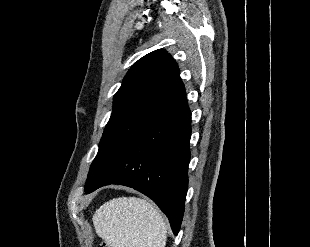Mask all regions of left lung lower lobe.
Returning a JSON list of instances; mask_svg holds the SVG:
<instances>
[{"label": "left lung lower lobe", "mask_w": 310, "mask_h": 247, "mask_svg": "<svg viewBox=\"0 0 310 247\" xmlns=\"http://www.w3.org/2000/svg\"><path fill=\"white\" fill-rule=\"evenodd\" d=\"M190 125L191 112L184 97L150 124L86 192L109 184L132 187L159 206L177 235L188 185Z\"/></svg>", "instance_id": "1"}]
</instances>
